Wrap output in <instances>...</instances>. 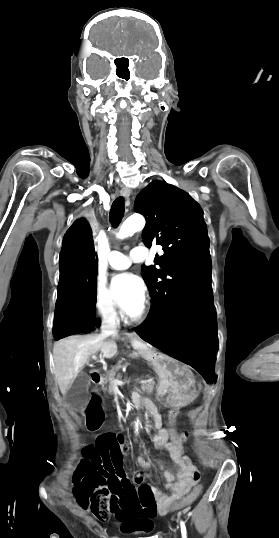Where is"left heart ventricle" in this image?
<instances>
[{"label": "left heart ventricle", "instance_id": "left-heart-ventricle-1", "mask_svg": "<svg viewBox=\"0 0 279 538\" xmlns=\"http://www.w3.org/2000/svg\"><path fill=\"white\" fill-rule=\"evenodd\" d=\"M138 310H139V309H138ZM138 310L127 311L126 313H127V314H133V313H136Z\"/></svg>", "mask_w": 279, "mask_h": 538}]
</instances>
